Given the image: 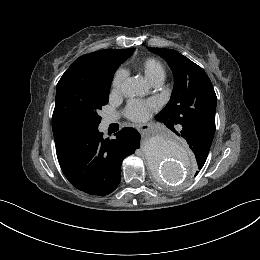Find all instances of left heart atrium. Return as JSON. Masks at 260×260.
<instances>
[{"mask_svg": "<svg viewBox=\"0 0 260 260\" xmlns=\"http://www.w3.org/2000/svg\"><path fill=\"white\" fill-rule=\"evenodd\" d=\"M153 106L152 102L133 100L127 107L126 115L133 121H143L149 117Z\"/></svg>", "mask_w": 260, "mask_h": 260, "instance_id": "left-heart-atrium-1", "label": "left heart atrium"}]
</instances>
